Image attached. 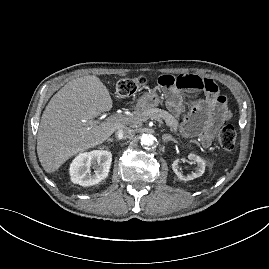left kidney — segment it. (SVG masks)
<instances>
[{
    "mask_svg": "<svg viewBox=\"0 0 269 269\" xmlns=\"http://www.w3.org/2000/svg\"><path fill=\"white\" fill-rule=\"evenodd\" d=\"M188 159L191 160L194 164H196L197 168H196L195 172H193L192 174L186 175V176L183 175L180 171H178L179 159L174 160L172 163V170L177 175V177L183 181H189V180H193L197 177H200L203 175V173L205 171L206 162L201 157H199L193 153H190L188 155Z\"/></svg>",
    "mask_w": 269,
    "mask_h": 269,
    "instance_id": "1",
    "label": "left kidney"
}]
</instances>
